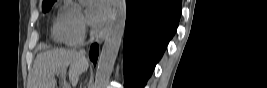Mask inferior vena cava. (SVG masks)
<instances>
[{"mask_svg":"<svg viewBox=\"0 0 267 88\" xmlns=\"http://www.w3.org/2000/svg\"><path fill=\"white\" fill-rule=\"evenodd\" d=\"M78 57L82 60H85V50L84 49H80L79 52L77 53Z\"/></svg>","mask_w":267,"mask_h":88,"instance_id":"602c4592","label":"inferior vena cava"}]
</instances>
